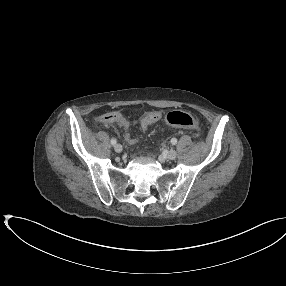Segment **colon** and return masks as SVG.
<instances>
[{"mask_svg": "<svg viewBox=\"0 0 286 286\" xmlns=\"http://www.w3.org/2000/svg\"><path fill=\"white\" fill-rule=\"evenodd\" d=\"M165 121L168 125L186 129H196L197 120L190 114L182 111H172L166 115ZM147 125H141V129L146 130Z\"/></svg>", "mask_w": 286, "mask_h": 286, "instance_id": "obj_1", "label": "colon"}]
</instances>
